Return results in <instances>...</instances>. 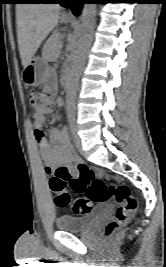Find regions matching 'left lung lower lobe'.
<instances>
[{
  "label": "left lung lower lobe",
  "instance_id": "1",
  "mask_svg": "<svg viewBox=\"0 0 166 267\" xmlns=\"http://www.w3.org/2000/svg\"><path fill=\"white\" fill-rule=\"evenodd\" d=\"M94 2H98L95 1ZM50 3H60L61 5L69 4L71 6V9L75 15H78L81 9V5L85 2L82 0H53Z\"/></svg>",
  "mask_w": 166,
  "mask_h": 267
}]
</instances>
